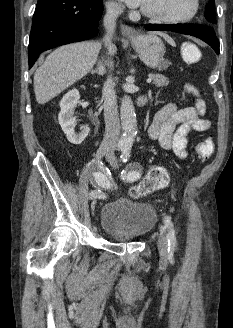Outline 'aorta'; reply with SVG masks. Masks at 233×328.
I'll list each match as a JSON object with an SVG mask.
<instances>
[{
	"label": "aorta",
	"mask_w": 233,
	"mask_h": 328,
	"mask_svg": "<svg viewBox=\"0 0 233 328\" xmlns=\"http://www.w3.org/2000/svg\"><path fill=\"white\" fill-rule=\"evenodd\" d=\"M120 116L122 136L119 146L121 149L130 150L137 134V120L132 99L127 95L121 101Z\"/></svg>",
	"instance_id": "1"
}]
</instances>
